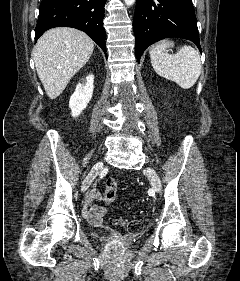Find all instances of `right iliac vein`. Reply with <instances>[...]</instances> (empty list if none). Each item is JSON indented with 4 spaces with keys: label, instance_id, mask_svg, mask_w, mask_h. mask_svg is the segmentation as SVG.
<instances>
[{
    "label": "right iliac vein",
    "instance_id": "63e3f726",
    "mask_svg": "<svg viewBox=\"0 0 240 281\" xmlns=\"http://www.w3.org/2000/svg\"><path fill=\"white\" fill-rule=\"evenodd\" d=\"M102 167H103L102 162H98L93 166L92 170L89 172V174L87 175V177L85 178V180L82 184V187H81L82 192H85L89 188V186L91 185V183L93 182L95 177L101 171Z\"/></svg>",
    "mask_w": 240,
    "mask_h": 281
}]
</instances>
